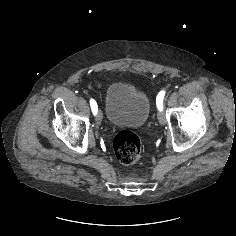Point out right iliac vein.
<instances>
[{"label":"right iliac vein","mask_w":236,"mask_h":236,"mask_svg":"<svg viewBox=\"0 0 236 236\" xmlns=\"http://www.w3.org/2000/svg\"><path fill=\"white\" fill-rule=\"evenodd\" d=\"M103 119V115L101 113V111L97 112V116H96V120L100 123Z\"/></svg>","instance_id":"obj_1"}]
</instances>
